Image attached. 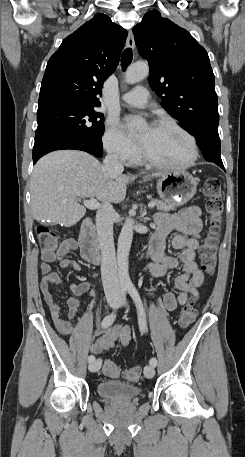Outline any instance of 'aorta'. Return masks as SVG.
I'll list each match as a JSON object with an SVG mask.
<instances>
[{
    "label": "aorta",
    "instance_id": "762f6f07",
    "mask_svg": "<svg viewBox=\"0 0 245 457\" xmlns=\"http://www.w3.org/2000/svg\"><path fill=\"white\" fill-rule=\"evenodd\" d=\"M148 73V64L145 62H137L128 68L125 80L129 84H134L143 80ZM142 123V121H137L136 124L141 125ZM133 224V219L127 218L118 238L117 265L118 278L121 286H128L131 284L129 276V253L133 239Z\"/></svg>",
    "mask_w": 245,
    "mask_h": 457
}]
</instances>
